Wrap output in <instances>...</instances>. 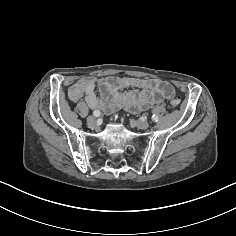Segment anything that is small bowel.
Masks as SVG:
<instances>
[{"label":"small bowel","mask_w":236,"mask_h":236,"mask_svg":"<svg viewBox=\"0 0 236 236\" xmlns=\"http://www.w3.org/2000/svg\"><path fill=\"white\" fill-rule=\"evenodd\" d=\"M96 79L84 77L73 83L68 90L72 102L84 99L87 105L104 114L125 107L137 113L164 100L174 98L175 89L167 81L153 78L106 77L98 81L101 96L96 93ZM131 90L122 92V89Z\"/></svg>","instance_id":"small-bowel-1"}]
</instances>
